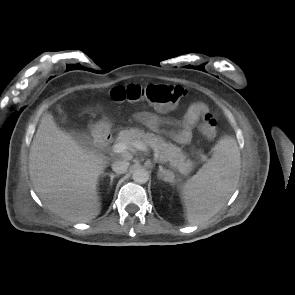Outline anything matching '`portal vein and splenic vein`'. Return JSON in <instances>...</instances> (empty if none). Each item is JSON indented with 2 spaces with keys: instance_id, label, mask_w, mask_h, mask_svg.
Returning <instances> with one entry per match:
<instances>
[{
  "instance_id": "1",
  "label": "portal vein and splenic vein",
  "mask_w": 295,
  "mask_h": 295,
  "mask_svg": "<svg viewBox=\"0 0 295 295\" xmlns=\"http://www.w3.org/2000/svg\"><path fill=\"white\" fill-rule=\"evenodd\" d=\"M130 146H133V147H135V148H137L138 150H141V151H147L148 150L147 145H145L144 143H141V142H134L132 144H128L126 142H119V143H116L115 145H113L112 150L115 153H124V152H126L128 150V148Z\"/></svg>"
}]
</instances>
